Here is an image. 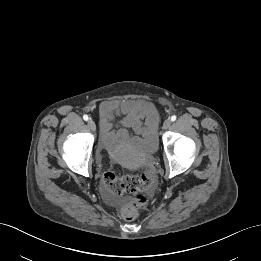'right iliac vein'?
<instances>
[{
	"label": "right iliac vein",
	"mask_w": 261,
	"mask_h": 261,
	"mask_svg": "<svg viewBox=\"0 0 261 261\" xmlns=\"http://www.w3.org/2000/svg\"><path fill=\"white\" fill-rule=\"evenodd\" d=\"M88 126H89V128H90L92 131H95V130H96V124H95V122H94L92 119H90V120L88 121Z\"/></svg>",
	"instance_id": "right-iliac-vein-1"
}]
</instances>
